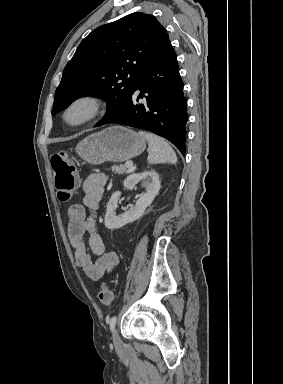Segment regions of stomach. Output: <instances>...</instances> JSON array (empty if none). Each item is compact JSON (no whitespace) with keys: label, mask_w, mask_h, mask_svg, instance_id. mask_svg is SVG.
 Wrapping results in <instances>:
<instances>
[{"label":"stomach","mask_w":283,"mask_h":384,"mask_svg":"<svg viewBox=\"0 0 283 384\" xmlns=\"http://www.w3.org/2000/svg\"><path fill=\"white\" fill-rule=\"evenodd\" d=\"M145 148L144 138L133 130L111 126L81 140L76 152L88 164L98 166L103 162H126L142 154Z\"/></svg>","instance_id":"1"}]
</instances>
